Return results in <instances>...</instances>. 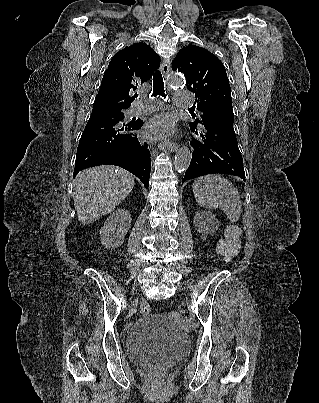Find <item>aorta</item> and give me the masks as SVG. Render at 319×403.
I'll return each instance as SVG.
<instances>
[{"label":"aorta","mask_w":319,"mask_h":403,"mask_svg":"<svg viewBox=\"0 0 319 403\" xmlns=\"http://www.w3.org/2000/svg\"><path fill=\"white\" fill-rule=\"evenodd\" d=\"M167 83L170 87L173 88H180L184 86V80L182 77L178 76L177 74H171L168 79ZM191 161V151L187 146H182L176 153L175 156V167L178 171L186 170Z\"/></svg>","instance_id":"1"}]
</instances>
